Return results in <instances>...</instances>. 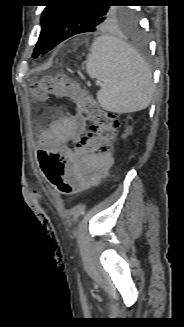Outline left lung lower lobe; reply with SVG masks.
I'll use <instances>...</instances> for the list:
<instances>
[{
	"mask_svg": "<svg viewBox=\"0 0 184 327\" xmlns=\"http://www.w3.org/2000/svg\"><path fill=\"white\" fill-rule=\"evenodd\" d=\"M61 19L58 23L50 41L48 42L46 48L41 54H45L48 51H50L52 48H54L57 44L64 41L65 39L77 34L75 33V30H69L70 28L66 29L64 27V24ZM129 29V33L133 39V42L137 49H139L141 52H145L148 49L147 40L144 34L142 33V30L139 26H132Z\"/></svg>",
	"mask_w": 184,
	"mask_h": 327,
	"instance_id": "left-lung-lower-lobe-1",
	"label": "left lung lower lobe"
}]
</instances>
